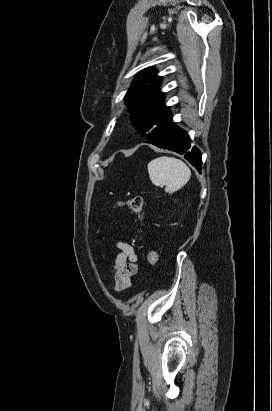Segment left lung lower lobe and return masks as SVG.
Returning <instances> with one entry per match:
<instances>
[{"instance_id": "1", "label": "left lung lower lobe", "mask_w": 272, "mask_h": 411, "mask_svg": "<svg viewBox=\"0 0 272 411\" xmlns=\"http://www.w3.org/2000/svg\"><path fill=\"white\" fill-rule=\"evenodd\" d=\"M159 148L171 150L179 154H185L184 158L194 167L201 169V152L197 147L191 146L188 133L177 126L172 119L151 134L147 140Z\"/></svg>"}]
</instances>
